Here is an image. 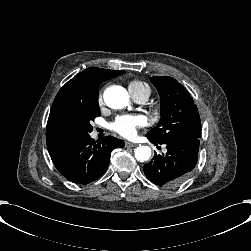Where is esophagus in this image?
Returning a JSON list of instances; mask_svg holds the SVG:
<instances>
[{
  "label": "esophagus",
  "mask_w": 251,
  "mask_h": 251,
  "mask_svg": "<svg viewBox=\"0 0 251 251\" xmlns=\"http://www.w3.org/2000/svg\"><path fill=\"white\" fill-rule=\"evenodd\" d=\"M125 146H126V147H136L137 144L132 143V142H126V143H125Z\"/></svg>",
  "instance_id": "obj_1"
}]
</instances>
